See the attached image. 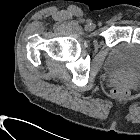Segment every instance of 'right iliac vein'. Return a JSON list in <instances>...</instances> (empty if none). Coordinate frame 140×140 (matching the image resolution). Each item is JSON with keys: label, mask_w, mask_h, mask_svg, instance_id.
<instances>
[{"label": "right iliac vein", "mask_w": 140, "mask_h": 140, "mask_svg": "<svg viewBox=\"0 0 140 140\" xmlns=\"http://www.w3.org/2000/svg\"><path fill=\"white\" fill-rule=\"evenodd\" d=\"M87 28L89 29V30H94V28H95V26H94V24H88L87 25Z\"/></svg>", "instance_id": "right-iliac-vein-1"}]
</instances>
